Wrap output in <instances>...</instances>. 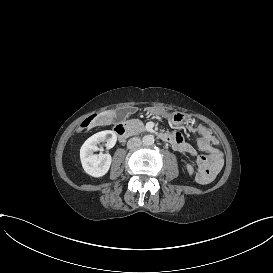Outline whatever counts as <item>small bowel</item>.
<instances>
[{
  "mask_svg": "<svg viewBox=\"0 0 273 273\" xmlns=\"http://www.w3.org/2000/svg\"><path fill=\"white\" fill-rule=\"evenodd\" d=\"M191 129L199 135V138L197 140V145H198L199 149L205 153V154L199 155L197 158V163H198V166L200 169L201 160L206 154L211 153V152H216V153H219L222 155V152L220 150H218L217 148H215L214 145L217 144V139L212 134V132L209 128H207L204 125L197 124V125L191 127ZM166 134H168V133H166ZM170 135H171L170 143H174L180 151L190 154V155H197V151L193 146H191L190 144H188L186 142L179 141V138H180L179 134H176V136L172 135V134H170ZM186 170L189 174H193L194 173L193 165H191V164L187 165Z\"/></svg>",
  "mask_w": 273,
  "mask_h": 273,
  "instance_id": "c3829d8e",
  "label": "small bowel"
}]
</instances>
